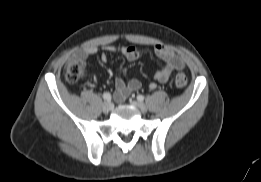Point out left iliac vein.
<instances>
[{
    "label": "left iliac vein",
    "instance_id": "obj_1",
    "mask_svg": "<svg viewBox=\"0 0 261 182\" xmlns=\"http://www.w3.org/2000/svg\"><path fill=\"white\" fill-rule=\"evenodd\" d=\"M131 105L136 107V108H138V109H140L142 112L147 111V106L144 103H142V102H138L136 100H132L131 101Z\"/></svg>",
    "mask_w": 261,
    "mask_h": 182
}]
</instances>
